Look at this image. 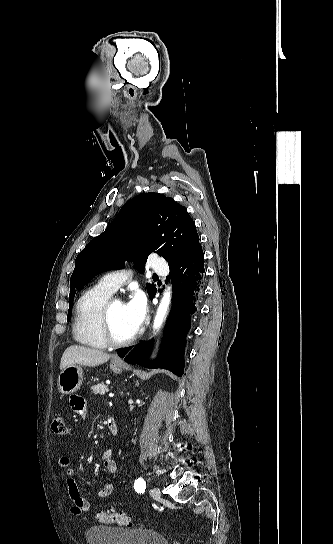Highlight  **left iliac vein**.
Wrapping results in <instances>:
<instances>
[{"label":"left iliac vein","instance_id":"obj_1","mask_svg":"<svg viewBox=\"0 0 333 544\" xmlns=\"http://www.w3.org/2000/svg\"><path fill=\"white\" fill-rule=\"evenodd\" d=\"M150 495H151L154 499L160 498V496H161L160 489H159L158 487H153V488H151V490H150Z\"/></svg>","mask_w":333,"mask_h":544}]
</instances>
